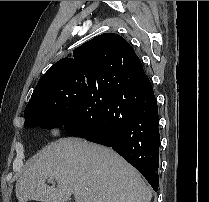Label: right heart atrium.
Segmentation results:
<instances>
[{"label":"right heart atrium","instance_id":"1","mask_svg":"<svg viewBox=\"0 0 209 202\" xmlns=\"http://www.w3.org/2000/svg\"><path fill=\"white\" fill-rule=\"evenodd\" d=\"M46 134L49 137H57L60 135V129L58 127H50L48 129H46Z\"/></svg>","mask_w":209,"mask_h":202}]
</instances>
